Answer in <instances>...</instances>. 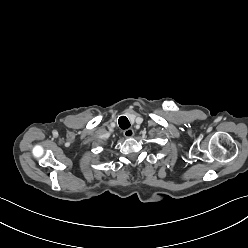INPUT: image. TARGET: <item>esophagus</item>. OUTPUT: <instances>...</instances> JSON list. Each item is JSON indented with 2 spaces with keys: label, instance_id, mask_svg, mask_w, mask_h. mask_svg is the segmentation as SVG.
Listing matches in <instances>:
<instances>
[{
  "label": "esophagus",
  "instance_id": "obj_1",
  "mask_svg": "<svg viewBox=\"0 0 248 248\" xmlns=\"http://www.w3.org/2000/svg\"><path fill=\"white\" fill-rule=\"evenodd\" d=\"M124 136L126 138H132L134 136V131L133 129L129 128V129H126L124 132H123Z\"/></svg>",
  "mask_w": 248,
  "mask_h": 248
}]
</instances>
